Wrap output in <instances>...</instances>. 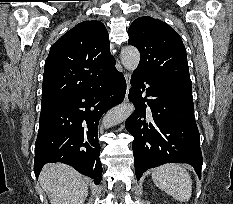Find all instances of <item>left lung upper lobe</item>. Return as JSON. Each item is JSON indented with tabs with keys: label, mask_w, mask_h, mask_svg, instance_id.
I'll use <instances>...</instances> for the list:
<instances>
[{
	"label": "left lung upper lobe",
	"mask_w": 233,
	"mask_h": 204,
	"mask_svg": "<svg viewBox=\"0 0 233 204\" xmlns=\"http://www.w3.org/2000/svg\"><path fill=\"white\" fill-rule=\"evenodd\" d=\"M128 35V43L141 55L136 72L159 82L192 88L185 47L168 24L152 17H139L131 24Z\"/></svg>",
	"instance_id": "obj_1"
}]
</instances>
